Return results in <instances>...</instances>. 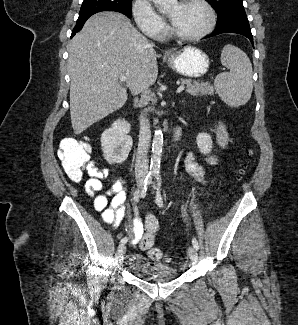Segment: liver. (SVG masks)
I'll return each instance as SVG.
<instances>
[{
	"label": "liver",
	"mask_w": 298,
	"mask_h": 325,
	"mask_svg": "<svg viewBox=\"0 0 298 325\" xmlns=\"http://www.w3.org/2000/svg\"><path fill=\"white\" fill-rule=\"evenodd\" d=\"M121 12H96L69 44L70 114L75 134L156 82V50ZM119 76H126L119 82Z\"/></svg>",
	"instance_id": "1"
}]
</instances>
